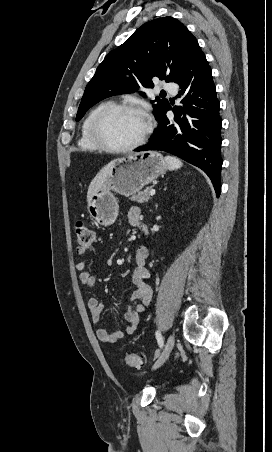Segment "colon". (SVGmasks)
<instances>
[{"label": "colon", "instance_id": "obj_1", "mask_svg": "<svg viewBox=\"0 0 272 452\" xmlns=\"http://www.w3.org/2000/svg\"><path fill=\"white\" fill-rule=\"evenodd\" d=\"M76 234L77 251L84 253L92 250L95 242V234L92 229L84 222L77 221L74 226ZM124 363L131 367H141L143 359L135 353H127L124 357Z\"/></svg>", "mask_w": 272, "mask_h": 452}]
</instances>
